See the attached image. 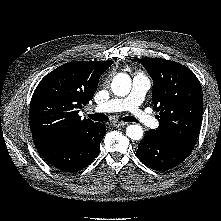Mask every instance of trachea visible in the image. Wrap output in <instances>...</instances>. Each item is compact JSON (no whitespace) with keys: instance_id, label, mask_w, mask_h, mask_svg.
Returning <instances> with one entry per match:
<instances>
[{"instance_id":"1","label":"trachea","mask_w":221,"mask_h":221,"mask_svg":"<svg viewBox=\"0 0 221 221\" xmlns=\"http://www.w3.org/2000/svg\"><path fill=\"white\" fill-rule=\"evenodd\" d=\"M89 117L94 120V121H99V122H103V121H107L108 117L105 114L102 113H95V114H90ZM124 122H137V120L134 117L131 116H126L123 118Z\"/></svg>"}]
</instances>
